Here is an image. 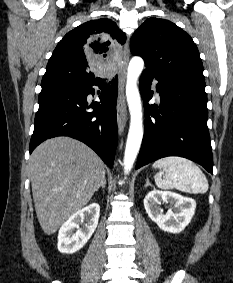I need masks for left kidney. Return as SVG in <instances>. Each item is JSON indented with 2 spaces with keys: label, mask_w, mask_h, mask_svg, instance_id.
I'll use <instances>...</instances> for the list:
<instances>
[{
  "label": "left kidney",
  "mask_w": 233,
  "mask_h": 283,
  "mask_svg": "<svg viewBox=\"0 0 233 283\" xmlns=\"http://www.w3.org/2000/svg\"><path fill=\"white\" fill-rule=\"evenodd\" d=\"M161 203L173 205L166 214H163ZM145 210L152 221L161 230L169 233H179L190 223L196 208L192 198L183 197L168 191L153 190L144 199Z\"/></svg>",
  "instance_id": "5707ae66"
}]
</instances>
